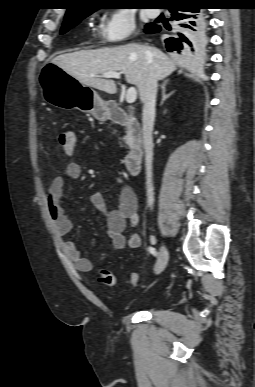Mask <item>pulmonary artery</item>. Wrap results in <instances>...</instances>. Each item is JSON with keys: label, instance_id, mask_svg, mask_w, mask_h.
<instances>
[{"label": "pulmonary artery", "instance_id": "e3ab8cb5", "mask_svg": "<svg viewBox=\"0 0 255 387\" xmlns=\"http://www.w3.org/2000/svg\"><path fill=\"white\" fill-rule=\"evenodd\" d=\"M147 14L150 17L155 18V17H157L160 14V10L159 9H148L147 10Z\"/></svg>", "mask_w": 255, "mask_h": 387}]
</instances>
